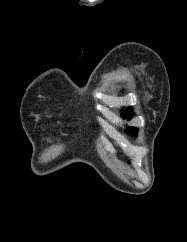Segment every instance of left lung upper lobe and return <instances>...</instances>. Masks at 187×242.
Masks as SVG:
<instances>
[{"label": "left lung upper lobe", "instance_id": "left-lung-upper-lobe-1", "mask_svg": "<svg viewBox=\"0 0 187 242\" xmlns=\"http://www.w3.org/2000/svg\"><path fill=\"white\" fill-rule=\"evenodd\" d=\"M132 115H134V113H133V109L131 107H128L126 110H124L121 113V116L124 119L130 118ZM127 133H129L130 135L137 136V129H134V127H128Z\"/></svg>", "mask_w": 187, "mask_h": 242}]
</instances>
